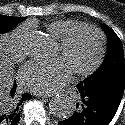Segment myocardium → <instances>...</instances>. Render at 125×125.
<instances>
[{"instance_id": "1", "label": "myocardium", "mask_w": 125, "mask_h": 125, "mask_svg": "<svg viewBox=\"0 0 125 125\" xmlns=\"http://www.w3.org/2000/svg\"><path fill=\"white\" fill-rule=\"evenodd\" d=\"M85 30L95 33L96 36L98 37L99 42H98V52L94 60L85 68L76 69L73 71L75 75L83 77L94 73L103 63L106 54V36L104 32L100 28L94 25L82 23L72 28L62 39H60L58 44L59 48L62 51H66L71 46L77 35Z\"/></svg>"}]
</instances>
